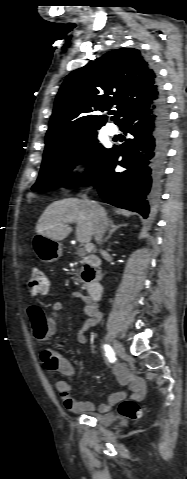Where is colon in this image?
I'll return each instance as SVG.
<instances>
[{
    "mask_svg": "<svg viewBox=\"0 0 187 479\" xmlns=\"http://www.w3.org/2000/svg\"><path fill=\"white\" fill-rule=\"evenodd\" d=\"M27 290L28 293L33 297L47 294L49 290V283L43 270L38 268L31 270L29 279L27 281ZM118 412L121 416L128 419L139 418L141 414L138 406L131 400H124L121 402Z\"/></svg>",
    "mask_w": 187,
    "mask_h": 479,
    "instance_id": "obj_1",
    "label": "colon"
}]
</instances>
